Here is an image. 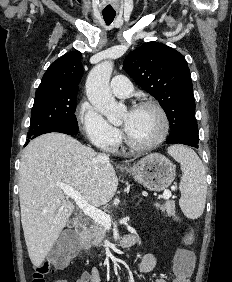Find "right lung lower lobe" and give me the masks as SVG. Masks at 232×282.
<instances>
[{
    "instance_id": "obj_1",
    "label": "right lung lower lobe",
    "mask_w": 232,
    "mask_h": 282,
    "mask_svg": "<svg viewBox=\"0 0 232 282\" xmlns=\"http://www.w3.org/2000/svg\"><path fill=\"white\" fill-rule=\"evenodd\" d=\"M49 132H60V133L68 134V135H75L77 133V131H75L73 129H70V128H67V127L55 126V127L51 128L48 131H45V132H43L41 134H45V133H49ZM41 134H39V135H41ZM39 135H35V136L31 137V138H29V140L33 139V138H35V137H37ZM29 140L26 142V144L29 143Z\"/></svg>"
}]
</instances>
